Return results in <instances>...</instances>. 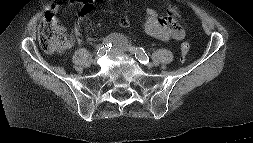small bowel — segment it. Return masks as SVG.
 Listing matches in <instances>:
<instances>
[{
  "instance_id": "small-bowel-1",
  "label": "small bowel",
  "mask_w": 253,
  "mask_h": 143,
  "mask_svg": "<svg viewBox=\"0 0 253 143\" xmlns=\"http://www.w3.org/2000/svg\"><path fill=\"white\" fill-rule=\"evenodd\" d=\"M99 0H56L53 6L49 9V18L52 22L58 23V18L55 16L57 11L65 5H75L80 7V13L77 17L72 35L66 41L67 48H71L76 42L81 39V24L84 17L91 9L98 3ZM171 16L163 17L159 16L153 8H146L145 20L143 23V29L146 34L163 41L170 39L181 40L184 37L183 28L174 22V16H176V10H171ZM130 21L128 18H122L120 25L122 27L129 26ZM90 40H95V37L90 36Z\"/></svg>"
}]
</instances>
